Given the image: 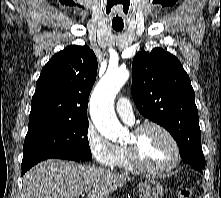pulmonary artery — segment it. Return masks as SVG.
<instances>
[{
  "mask_svg": "<svg viewBox=\"0 0 221 198\" xmlns=\"http://www.w3.org/2000/svg\"><path fill=\"white\" fill-rule=\"evenodd\" d=\"M116 110L119 116L128 124L134 122V115L130 101L125 98H119L116 103Z\"/></svg>",
  "mask_w": 221,
  "mask_h": 198,
  "instance_id": "1",
  "label": "pulmonary artery"
}]
</instances>
